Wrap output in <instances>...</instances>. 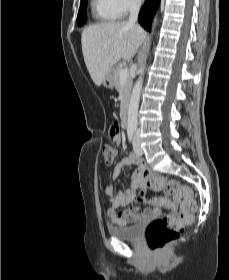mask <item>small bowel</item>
<instances>
[{
  "label": "small bowel",
  "instance_id": "1",
  "mask_svg": "<svg viewBox=\"0 0 229 280\" xmlns=\"http://www.w3.org/2000/svg\"><path fill=\"white\" fill-rule=\"evenodd\" d=\"M111 142L118 145L121 142V134L114 133L111 136ZM124 167L134 168L131 175L132 182L130 187L116 195H113V189L111 186H107L105 189V193L109 197L111 203V207L107 209V216L111 223L118 226H127L141 219H147L158 215L162 212L163 208L172 209L174 207V203L166 196H143L141 201L150 205L151 208L140 211L135 204H132L127 210L118 212V209L124 208L134 202L133 199L136 197V194L140 189L145 191L148 188L145 176L151 175L147 172L143 160L134 154L128 155L119 163L114 172L115 179L120 176Z\"/></svg>",
  "mask_w": 229,
  "mask_h": 280
}]
</instances>
